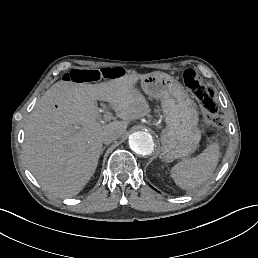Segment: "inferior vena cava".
<instances>
[{
    "label": "inferior vena cava",
    "mask_w": 258,
    "mask_h": 258,
    "mask_svg": "<svg viewBox=\"0 0 258 258\" xmlns=\"http://www.w3.org/2000/svg\"><path fill=\"white\" fill-rule=\"evenodd\" d=\"M120 135L113 130H107L103 133L101 140L104 144H109L118 139Z\"/></svg>",
    "instance_id": "inferior-vena-cava-1"
}]
</instances>
